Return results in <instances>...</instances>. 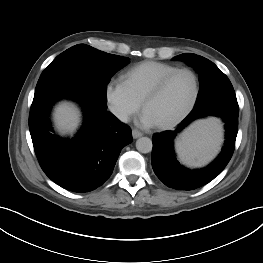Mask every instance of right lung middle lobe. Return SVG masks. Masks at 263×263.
I'll list each match as a JSON object with an SVG mask.
<instances>
[{
  "label": "right lung middle lobe",
  "instance_id": "dd1d6c3e",
  "mask_svg": "<svg viewBox=\"0 0 263 263\" xmlns=\"http://www.w3.org/2000/svg\"><path fill=\"white\" fill-rule=\"evenodd\" d=\"M128 63L127 57L108 54L85 44L75 45L58 55L42 72L34 100L75 89L106 105L110 78Z\"/></svg>",
  "mask_w": 263,
  "mask_h": 263
}]
</instances>
